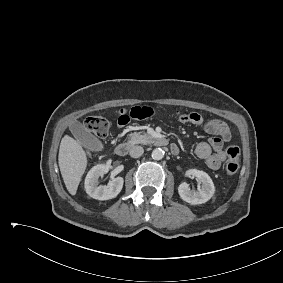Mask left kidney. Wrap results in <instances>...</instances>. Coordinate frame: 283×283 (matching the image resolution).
<instances>
[{
  "label": "left kidney",
  "mask_w": 283,
  "mask_h": 283,
  "mask_svg": "<svg viewBox=\"0 0 283 283\" xmlns=\"http://www.w3.org/2000/svg\"><path fill=\"white\" fill-rule=\"evenodd\" d=\"M188 177L196 178L200 185L197 190H191L186 182H183L178 187V193L182 200L192 205L206 203L215 193V187L210 176L201 170L190 169L186 172Z\"/></svg>",
  "instance_id": "left-kidney-1"
}]
</instances>
